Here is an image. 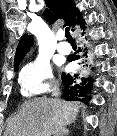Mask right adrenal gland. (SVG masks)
<instances>
[{
    "mask_svg": "<svg viewBox=\"0 0 117 136\" xmlns=\"http://www.w3.org/2000/svg\"><path fill=\"white\" fill-rule=\"evenodd\" d=\"M69 131L67 129H64L63 131L60 132L57 136H65L68 135Z\"/></svg>",
    "mask_w": 117,
    "mask_h": 136,
    "instance_id": "right-adrenal-gland-1",
    "label": "right adrenal gland"
}]
</instances>
